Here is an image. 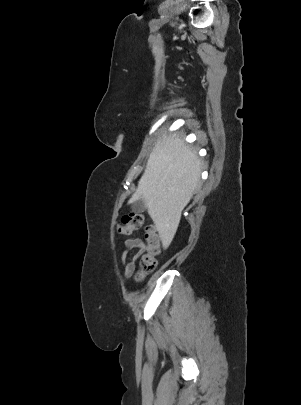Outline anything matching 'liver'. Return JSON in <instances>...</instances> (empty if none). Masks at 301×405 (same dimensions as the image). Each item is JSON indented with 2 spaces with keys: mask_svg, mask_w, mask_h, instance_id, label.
Listing matches in <instances>:
<instances>
[{
  "mask_svg": "<svg viewBox=\"0 0 301 405\" xmlns=\"http://www.w3.org/2000/svg\"><path fill=\"white\" fill-rule=\"evenodd\" d=\"M201 160L177 133L166 132L155 143L129 202L143 199L159 237L168 247L181 214L200 183Z\"/></svg>",
  "mask_w": 301,
  "mask_h": 405,
  "instance_id": "6515ba94",
  "label": "liver"
}]
</instances>
